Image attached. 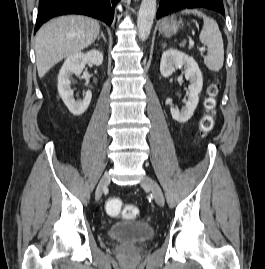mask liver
Here are the masks:
<instances>
[{"label": "liver", "mask_w": 265, "mask_h": 269, "mask_svg": "<svg viewBox=\"0 0 265 269\" xmlns=\"http://www.w3.org/2000/svg\"><path fill=\"white\" fill-rule=\"evenodd\" d=\"M100 32L99 23L89 17L69 15L53 19L36 34L37 71L42 78L55 64L90 46Z\"/></svg>", "instance_id": "obj_1"}]
</instances>
